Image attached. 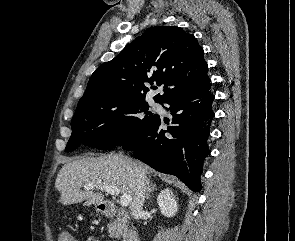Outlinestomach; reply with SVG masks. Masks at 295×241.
<instances>
[{
  "label": "stomach",
  "instance_id": "stomach-1",
  "mask_svg": "<svg viewBox=\"0 0 295 241\" xmlns=\"http://www.w3.org/2000/svg\"><path fill=\"white\" fill-rule=\"evenodd\" d=\"M102 204H97L96 205V210L98 211V212H102L103 211V206H101Z\"/></svg>",
  "mask_w": 295,
  "mask_h": 241
}]
</instances>
